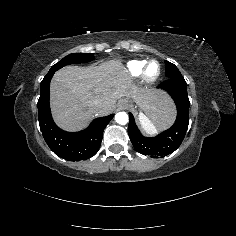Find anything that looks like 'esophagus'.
<instances>
[{
    "mask_svg": "<svg viewBox=\"0 0 236 236\" xmlns=\"http://www.w3.org/2000/svg\"><path fill=\"white\" fill-rule=\"evenodd\" d=\"M117 105L119 109L125 110L129 107V100L126 98L120 99Z\"/></svg>",
    "mask_w": 236,
    "mask_h": 236,
    "instance_id": "obj_1",
    "label": "esophagus"
}]
</instances>
